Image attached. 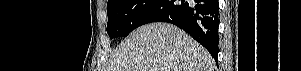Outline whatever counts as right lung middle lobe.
<instances>
[{
  "mask_svg": "<svg viewBox=\"0 0 301 71\" xmlns=\"http://www.w3.org/2000/svg\"><path fill=\"white\" fill-rule=\"evenodd\" d=\"M158 0H108L107 33L109 37L127 36L139 26L145 13Z\"/></svg>",
  "mask_w": 301,
  "mask_h": 71,
  "instance_id": "1",
  "label": "right lung middle lobe"
}]
</instances>
